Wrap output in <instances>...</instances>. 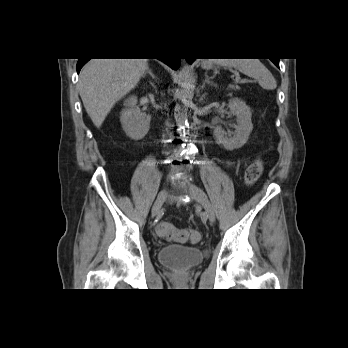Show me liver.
Masks as SVG:
<instances>
[{
	"label": "liver",
	"mask_w": 348,
	"mask_h": 348,
	"mask_svg": "<svg viewBox=\"0 0 348 348\" xmlns=\"http://www.w3.org/2000/svg\"><path fill=\"white\" fill-rule=\"evenodd\" d=\"M147 67L148 59H91L82 68L79 93L97 128L115 103L137 86Z\"/></svg>",
	"instance_id": "6515ba94"
}]
</instances>
